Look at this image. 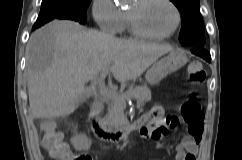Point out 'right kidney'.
Masks as SVG:
<instances>
[{"label":"right kidney","instance_id":"obj_1","mask_svg":"<svg viewBox=\"0 0 242 160\" xmlns=\"http://www.w3.org/2000/svg\"><path fill=\"white\" fill-rule=\"evenodd\" d=\"M71 144L78 151L88 150L91 146V142L86 136V134H82V133L79 135L73 136L71 138Z\"/></svg>","mask_w":242,"mask_h":160}]
</instances>
